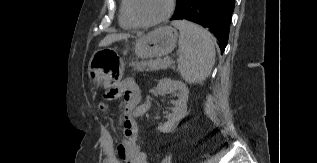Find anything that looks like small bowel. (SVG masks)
Wrapping results in <instances>:
<instances>
[{"mask_svg":"<svg viewBox=\"0 0 317 163\" xmlns=\"http://www.w3.org/2000/svg\"><path fill=\"white\" fill-rule=\"evenodd\" d=\"M123 96V141L114 143L112 135L107 132L102 141L103 163H148L146 154L137 143L138 127L136 119L145 109L140 106V88L132 79L124 80L118 87Z\"/></svg>","mask_w":317,"mask_h":163,"instance_id":"small-bowel-1","label":"small bowel"}]
</instances>
